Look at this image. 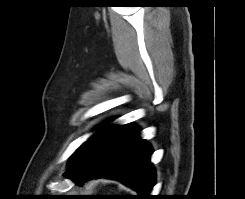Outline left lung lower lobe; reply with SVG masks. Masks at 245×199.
Segmentation results:
<instances>
[{"instance_id":"left-lung-lower-lobe-1","label":"left lung lower lobe","mask_w":245,"mask_h":199,"mask_svg":"<svg viewBox=\"0 0 245 199\" xmlns=\"http://www.w3.org/2000/svg\"><path fill=\"white\" fill-rule=\"evenodd\" d=\"M131 124L102 128L68 167L65 176L81 184L92 177H108L138 191L139 198L149 199L155 182L150 162L152 150Z\"/></svg>"}]
</instances>
